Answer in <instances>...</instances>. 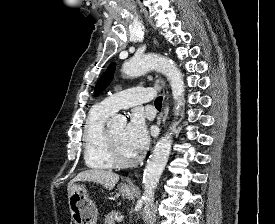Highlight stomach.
<instances>
[{
    "mask_svg": "<svg viewBox=\"0 0 275 224\" xmlns=\"http://www.w3.org/2000/svg\"><path fill=\"white\" fill-rule=\"evenodd\" d=\"M119 192L128 199H134L136 191L127 184L118 186ZM71 218L75 224H97L98 210L89 199L84 185L73 184L68 198Z\"/></svg>",
    "mask_w": 275,
    "mask_h": 224,
    "instance_id": "stomach-1",
    "label": "stomach"
}]
</instances>
